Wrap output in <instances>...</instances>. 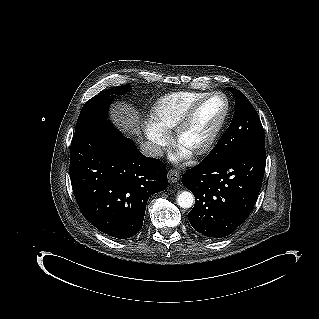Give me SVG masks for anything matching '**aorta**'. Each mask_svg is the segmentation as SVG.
<instances>
[{"instance_id":"762f6f07","label":"aorta","mask_w":319,"mask_h":319,"mask_svg":"<svg viewBox=\"0 0 319 319\" xmlns=\"http://www.w3.org/2000/svg\"><path fill=\"white\" fill-rule=\"evenodd\" d=\"M177 203L181 208H184V209L190 208L192 207L194 203V196L189 191H182L177 196Z\"/></svg>"}]
</instances>
